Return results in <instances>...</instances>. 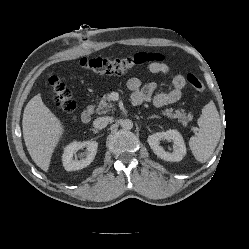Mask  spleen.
Wrapping results in <instances>:
<instances>
[{"instance_id": "1", "label": "spleen", "mask_w": 249, "mask_h": 249, "mask_svg": "<svg viewBox=\"0 0 249 249\" xmlns=\"http://www.w3.org/2000/svg\"><path fill=\"white\" fill-rule=\"evenodd\" d=\"M198 125L200 129L190 138L189 146L196 160L205 163L213 154L221 136V121L213 101L203 107Z\"/></svg>"}]
</instances>
